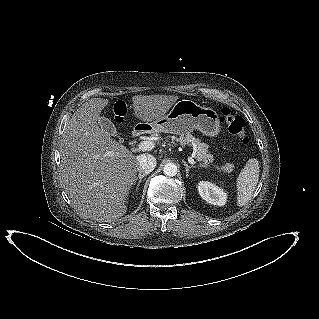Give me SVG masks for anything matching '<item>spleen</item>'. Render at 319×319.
<instances>
[{
	"instance_id": "obj_1",
	"label": "spleen",
	"mask_w": 319,
	"mask_h": 319,
	"mask_svg": "<svg viewBox=\"0 0 319 319\" xmlns=\"http://www.w3.org/2000/svg\"><path fill=\"white\" fill-rule=\"evenodd\" d=\"M259 180V162L257 159H249L240 172L237 181V205L244 206L249 202Z\"/></svg>"
}]
</instances>
